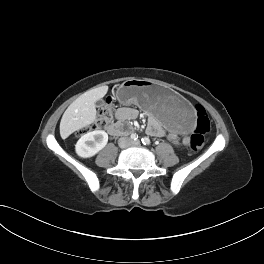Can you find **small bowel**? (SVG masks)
<instances>
[{"label": "small bowel", "mask_w": 264, "mask_h": 264, "mask_svg": "<svg viewBox=\"0 0 264 264\" xmlns=\"http://www.w3.org/2000/svg\"><path fill=\"white\" fill-rule=\"evenodd\" d=\"M137 114L138 112L136 109L131 107H123L117 110L116 117L119 121H125L136 118ZM147 132L152 136L158 137L166 135L168 139L174 144H179L181 141L184 143L187 142V139L181 140L180 135L175 131L166 132L160 123L155 119L150 120L147 126Z\"/></svg>", "instance_id": "small-bowel-1"}]
</instances>
